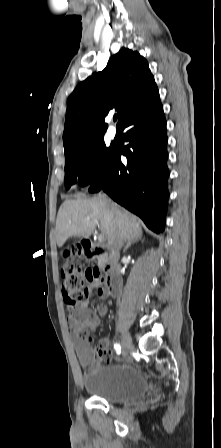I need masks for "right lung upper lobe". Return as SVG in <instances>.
<instances>
[{"instance_id": "obj_1", "label": "right lung upper lobe", "mask_w": 221, "mask_h": 448, "mask_svg": "<svg viewBox=\"0 0 221 448\" xmlns=\"http://www.w3.org/2000/svg\"><path fill=\"white\" fill-rule=\"evenodd\" d=\"M158 93L147 61L137 52L122 48L107 67L81 82L69 96L63 134L65 158L79 153L102 138L109 111L125 116Z\"/></svg>"}]
</instances>
